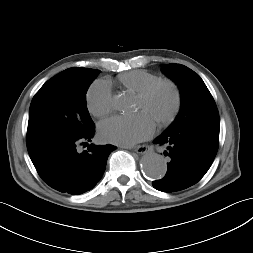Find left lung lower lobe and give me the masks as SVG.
Returning <instances> with one entry per match:
<instances>
[{
  "label": "left lung lower lobe",
  "instance_id": "left-lung-lower-lobe-1",
  "mask_svg": "<svg viewBox=\"0 0 253 253\" xmlns=\"http://www.w3.org/2000/svg\"><path fill=\"white\" fill-rule=\"evenodd\" d=\"M220 121H200L168 130L154 140L167 148L168 169L164 178L153 181L155 189L175 192L197 183L210 168L219 145Z\"/></svg>",
  "mask_w": 253,
  "mask_h": 253
}]
</instances>
